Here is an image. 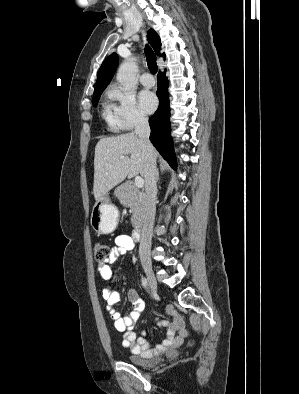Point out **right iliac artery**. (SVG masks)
<instances>
[{"mask_svg":"<svg viewBox=\"0 0 299 394\" xmlns=\"http://www.w3.org/2000/svg\"><path fill=\"white\" fill-rule=\"evenodd\" d=\"M142 285L143 287H147L148 283H147V279L146 278H142Z\"/></svg>","mask_w":299,"mask_h":394,"instance_id":"1","label":"right iliac artery"}]
</instances>
